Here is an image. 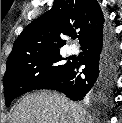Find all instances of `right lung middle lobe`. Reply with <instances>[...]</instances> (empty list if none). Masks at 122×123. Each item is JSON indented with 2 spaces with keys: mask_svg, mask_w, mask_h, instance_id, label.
Wrapping results in <instances>:
<instances>
[{
  "mask_svg": "<svg viewBox=\"0 0 122 123\" xmlns=\"http://www.w3.org/2000/svg\"><path fill=\"white\" fill-rule=\"evenodd\" d=\"M63 60L65 58L57 51L30 57L7 67L3 80L6 106L16 97L62 76L71 65V62L64 63Z\"/></svg>",
  "mask_w": 122,
  "mask_h": 123,
  "instance_id": "right-lung-middle-lobe-1",
  "label": "right lung middle lobe"
}]
</instances>
